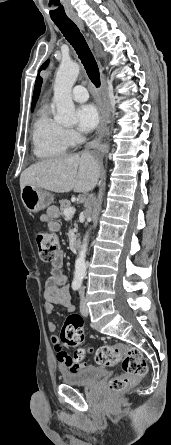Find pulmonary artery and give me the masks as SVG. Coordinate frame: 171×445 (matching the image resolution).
<instances>
[{
	"label": "pulmonary artery",
	"mask_w": 171,
	"mask_h": 445,
	"mask_svg": "<svg viewBox=\"0 0 171 445\" xmlns=\"http://www.w3.org/2000/svg\"><path fill=\"white\" fill-rule=\"evenodd\" d=\"M72 97L76 102H85L88 100L89 95L84 86L77 85L72 89Z\"/></svg>",
	"instance_id": "e3ab8cb5"
}]
</instances>
